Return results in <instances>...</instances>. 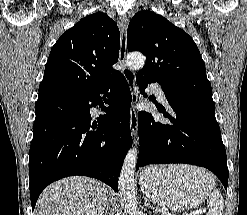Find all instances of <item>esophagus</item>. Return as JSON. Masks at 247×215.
I'll return each instance as SVG.
<instances>
[{
  "instance_id": "obj_1",
  "label": "esophagus",
  "mask_w": 247,
  "mask_h": 215,
  "mask_svg": "<svg viewBox=\"0 0 247 215\" xmlns=\"http://www.w3.org/2000/svg\"><path fill=\"white\" fill-rule=\"evenodd\" d=\"M118 26L120 30V51H119V63L122 66V73L126 78L132 95L131 108H130V128L131 134L136 141L137 132H138V116L136 112V104L138 102V92L135 83V73L133 70L127 67L126 65V50H127V27H128V19L126 16H121L118 21Z\"/></svg>"
}]
</instances>
